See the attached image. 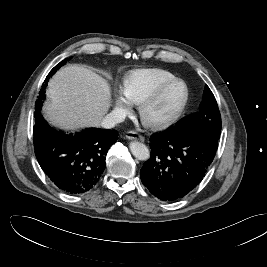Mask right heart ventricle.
<instances>
[{
	"label": "right heart ventricle",
	"instance_id": "obj_1",
	"mask_svg": "<svg viewBox=\"0 0 267 267\" xmlns=\"http://www.w3.org/2000/svg\"><path fill=\"white\" fill-rule=\"evenodd\" d=\"M176 80L172 73L161 69L135 70L125 75L123 92L130 103L140 104L162 87Z\"/></svg>",
	"mask_w": 267,
	"mask_h": 267
}]
</instances>
